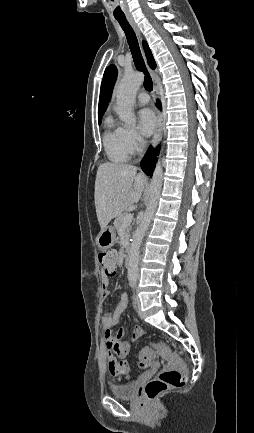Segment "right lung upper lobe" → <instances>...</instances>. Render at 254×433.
Returning a JSON list of instances; mask_svg holds the SVG:
<instances>
[{"label":"right lung upper lobe","instance_id":"right-lung-upper-lobe-1","mask_svg":"<svg viewBox=\"0 0 254 433\" xmlns=\"http://www.w3.org/2000/svg\"><path fill=\"white\" fill-rule=\"evenodd\" d=\"M143 47L148 59V63L150 67L154 69L156 67V63L146 42H143ZM116 77H117L116 67L114 65L108 66L104 72L103 80L101 83V93H100L99 108H98V120L102 119V116L107 109L108 102L111 99L112 90H113Z\"/></svg>","mask_w":254,"mask_h":433}]
</instances>
